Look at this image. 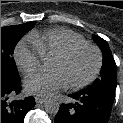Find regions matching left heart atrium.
<instances>
[{
  "label": "left heart atrium",
  "instance_id": "1",
  "mask_svg": "<svg viewBox=\"0 0 123 123\" xmlns=\"http://www.w3.org/2000/svg\"><path fill=\"white\" fill-rule=\"evenodd\" d=\"M67 84L65 76L58 69L39 70L25 80L26 90L39 96H49Z\"/></svg>",
  "mask_w": 123,
  "mask_h": 123
}]
</instances>
